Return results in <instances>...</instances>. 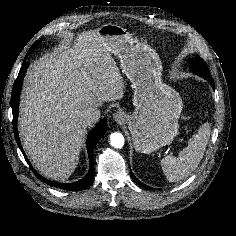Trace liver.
Returning <instances> with one entry per match:
<instances>
[{
    "label": "liver",
    "instance_id": "6515ba94",
    "mask_svg": "<svg viewBox=\"0 0 236 236\" xmlns=\"http://www.w3.org/2000/svg\"><path fill=\"white\" fill-rule=\"evenodd\" d=\"M124 96V81L98 30L35 61L25 78L18 120L23 148L46 178L65 181L77 167L88 107Z\"/></svg>",
    "mask_w": 236,
    "mask_h": 236
}]
</instances>
